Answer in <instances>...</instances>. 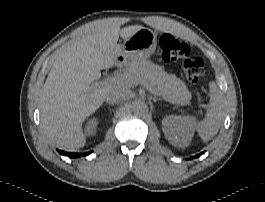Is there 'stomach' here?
<instances>
[{
  "instance_id": "0dacf381",
  "label": "stomach",
  "mask_w": 265,
  "mask_h": 202,
  "mask_svg": "<svg viewBox=\"0 0 265 202\" xmlns=\"http://www.w3.org/2000/svg\"><path fill=\"white\" fill-rule=\"evenodd\" d=\"M156 46V33L148 28H142L124 40L120 55L131 61H144L155 52Z\"/></svg>"
}]
</instances>
